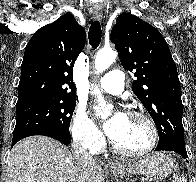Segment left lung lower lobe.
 <instances>
[{"instance_id":"left-lung-lower-lobe-1","label":"left lung lower lobe","mask_w":196,"mask_h":182,"mask_svg":"<svg viewBox=\"0 0 196 182\" xmlns=\"http://www.w3.org/2000/svg\"><path fill=\"white\" fill-rule=\"evenodd\" d=\"M172 151L175 152L179 155H181L184 159H186L187 156V152H186V148L183 145H166L163 147H156L155 151Z\"/></svg>"}]
</instances>
